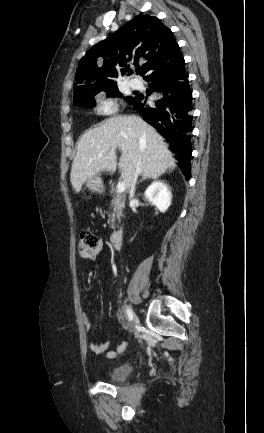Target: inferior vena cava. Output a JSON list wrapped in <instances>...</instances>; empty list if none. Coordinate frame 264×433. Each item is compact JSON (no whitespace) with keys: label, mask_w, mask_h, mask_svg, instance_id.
<instances>
[{"label":"inferior vena cava","mask_w":264,"mask_h":433,"mask_svg":"<svg viewBox=\"0 0 264 433\" xmlns=\"http://www.w3.org/2000/svg\"><path fill=\"white\" fill-rule=\"evenodd\" d=\"M140 173H141V169H140L139 165H137L136 170L132 176L131 183H130V198H133V196H134L137 178H138Z\"/></svg>","instance_id":"inferior-vena-cava-1"}]
</instances>
